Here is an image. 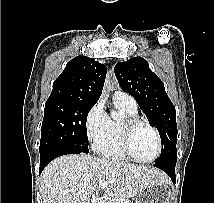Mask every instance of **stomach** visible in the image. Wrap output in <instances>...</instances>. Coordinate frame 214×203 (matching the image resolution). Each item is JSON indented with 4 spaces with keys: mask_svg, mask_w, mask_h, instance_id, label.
I'll list each match as a JSON object with an SVG mask.
<instances>
[{
    "mask_svg": "<svg viewBox=\"0 0 214 203\" xmlns=\"http://www.w3.org/2000/svg\"><path fill=\"white\" fill-rule=\"evenodd\" d=\"M135 203H171V190L166 182H155L137 195Z\"/></svg>",
    "mask_w": 214,
    "mask_h": 203,
    "instance_id": "1",
    "label": "stomach"
}]
</instances>
